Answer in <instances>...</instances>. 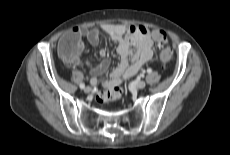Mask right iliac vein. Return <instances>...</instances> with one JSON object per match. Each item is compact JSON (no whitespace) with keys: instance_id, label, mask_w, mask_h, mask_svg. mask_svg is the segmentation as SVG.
<instances>
[{"instance_id":"obj_1","label":"right iliac vein","mask_w":230,"mask_h":155,"mask_svg":"<svg viewBox=\"0 0 230 155\" xmlns=\"http://www.w3.org/2000/svg\"><path fill=\"white\" fill-rule=\"evenodd\" d=\"M91 91H92V88L89 86L84 88L85 93H90Z\"/></svg>"}]
</instances>
